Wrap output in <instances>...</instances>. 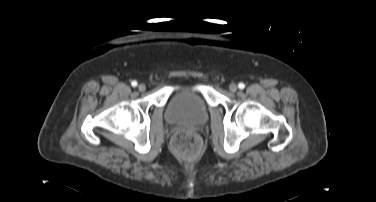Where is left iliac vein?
<instances>
[{
  "label": "left iliac vein",
  "mask_w": 376,
  "mask_h": 202,
  "mask_svg": "<svg viewBox=\"0 0 376 202\" xmlns=\"http://www.w3.org/2000/svg\"><path fill=\"white\" fill-rule=\"evenodd\" d=\"M237 89H238V86H237L236 84H234V83L230 84V86H229V90H230L231 92H236Z\"/></svg>",
  "instance_id": "1"
}]
</instances>
